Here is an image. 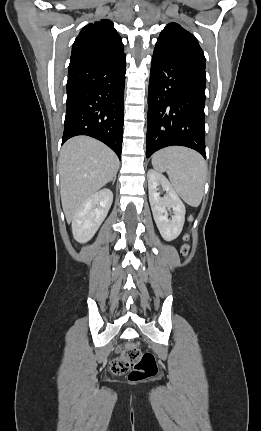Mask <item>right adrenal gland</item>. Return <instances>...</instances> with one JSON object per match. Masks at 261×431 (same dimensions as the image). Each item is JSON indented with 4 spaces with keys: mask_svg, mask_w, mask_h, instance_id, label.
<instances>
[{
    "mask_svg": "<svg viewBox=\"0 0 261 431\" xmlns=\"http://www.w3.org/2000/svg\"><path fill=\"white\" fill-rule=\"evenodd\" d=\"M115 180H116V176L112 179V184L114 185V183H115Z\"/></svg>",
    "mask_w": 261,
    "mask_h": 431,
    "instance_id": "right-adrenal-gland-1",
    "label": "right adrenal gland"
}]
</instances>
